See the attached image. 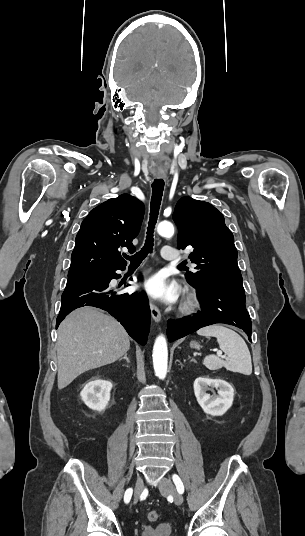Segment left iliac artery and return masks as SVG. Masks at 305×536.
Segmentation results:
<instances>
[{"label": "left iliac artery", "mask_w": 305, "mask_h": 536, "mask_svg": "<svg viewBox=\"0 0 305 536\" xmlns=\"http://www.w3.org/2000/svg\"><path fill=\"white\" fill-rule=\"evenodd\" d=\"M172 479H173L174 484L176 485L177 491L180 494H182L184 492V486H183V483H182L180 477L178 475L174 474Z\"/></svg>", "instance_id": "44dca946"}]
</instances>
